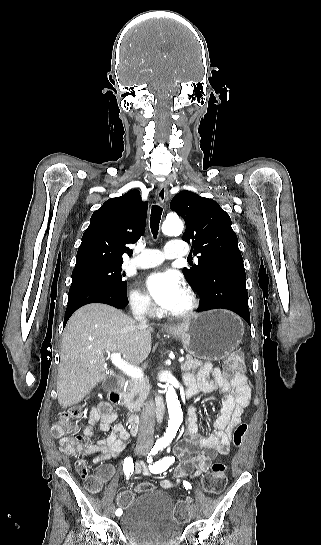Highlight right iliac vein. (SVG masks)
Wrapping results in <instances>:
<instances>
[{
	"instance_id": "right-iliac-vein-1",
	"label": "right iliac vein",
	"mask_w": 321,
	"mask_h": 545,
	"mask_svg": "<svg viewBox=\"0 0 321 545\" xmlns=\"http://www.w3.org/2000/svg\"><path fill=\"white\" fill-rule=\"evenodd\" d=\"M146 452H147L146 449L143 448V447H138L135 450L136 455H145ZM110 515H111L112 518L115 517V507L113 505L110 507Z\"/></svg>"
}]
</instances>
